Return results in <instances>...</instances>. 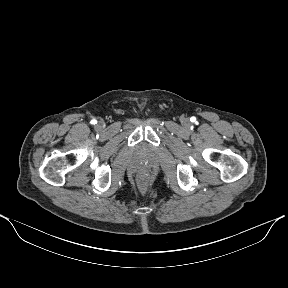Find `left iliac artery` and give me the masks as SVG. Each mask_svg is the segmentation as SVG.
Returning <instances> with one entry per match:
<instances>
[{
    "label": "left iliac artery",
    "instance_id": "44dca946",
    "mask_svg": "<svg viewBox=\"0 0 288 288\" xmlns=\"http://www.w3.org/2000/svg\"><path fill=\"white\" fill-rule=\"evenodd\" d=\"M195 120H196V118H195V117H192V120H191V121H192V122H195Z\"/></svg>",
    "mask_w": 288,
    "mask_h": 288
}]
</instances>
